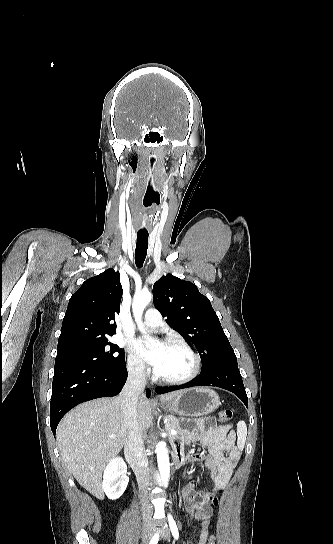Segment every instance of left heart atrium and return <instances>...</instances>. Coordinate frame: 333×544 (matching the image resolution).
Returning <instances> with one entry per match:
<instances>
[{
    "label": "left heart atrium",
    "instance_id": "1",
    "mask_svg": "<svg viewBox=\"0 0 333 544\" xmlns=\"http://www.w3.org/2000/svg\"><path fill=\"white\" fill-rule=\"evenodd\" d=\"M133 348L142 359L156 370L161 363L166 345L161 344L156 348L150 349L143 339H139L133 343Z\"/></svg>",
    "mask_w": 333,
    "mask_h": 544
}]
</instances>
